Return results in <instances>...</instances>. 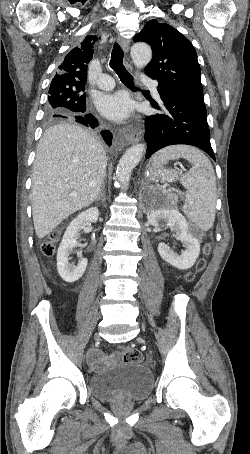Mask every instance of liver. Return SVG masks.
Segmentation results:
<instances>
[{
  "instance_id": "obj_1",
  "label": "liver",
  "mask_w": 250,
  "mask_h": 454,
  "mask_svg": "<svg viewBox=\"0 0 250 454\" xmlns=\"http://www.w3.org/2000/svg\"><path fill=\"white\" fill-rule=\"evenodd\" d=\"M106 167L103 146L85 129L63 123L43 133L32 176V216L38 238L96 200Z\"/></svg>"
}]
</instances>
